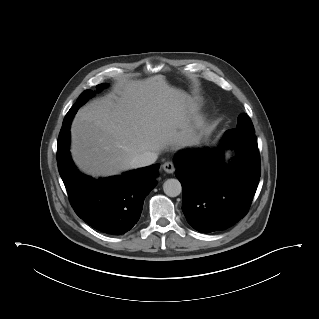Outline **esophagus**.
Wrapping results in <instances>:
<instances>
[{"instance_id":"obj_1","label":"esophagus","mask_w":319,"mask_h":319,"mask_svg":"<svg viewBox=\"0 0 319 319\" xmlns=\"http://www.w3.org/2000/svg\"><path fill=\"white\" fill-rule=\"evenodd\" d=\"M163 170L168 173L172 174L175 171V166L172 162L167 161L162 165Z\"/></svg>"}]
</instances>
